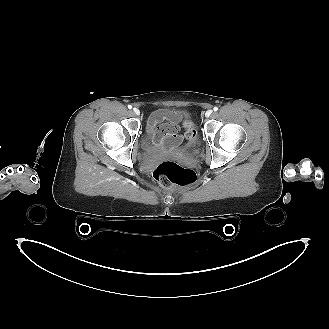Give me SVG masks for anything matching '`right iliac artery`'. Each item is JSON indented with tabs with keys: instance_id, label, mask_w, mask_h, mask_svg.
I'll return each mask as SVG.
<instances>
[{
	"instance_id": "82829eb1",
	"label": "right iliac artery",
	"mask_w": 329,
	"mask_h": 329,
	"mask_svg": "<svg viewBox=\"0 0 329 329\" xmlns=\"http://www.w3.org/2000/svg\"><path fill=\"white\" fill-rule=\"evenodd\" d=\"M128 109H132V106L131 105H128Z\"/></svg>"
}]
</instances>
